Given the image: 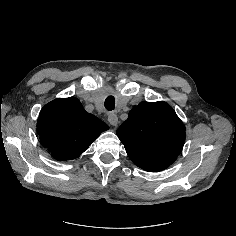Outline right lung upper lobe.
Here are the masks:
<instances>
[{
	"instance_id": "right-lung-upper-lobe-1",
	"label": "right lung upper lobe",
	"mask_w": 236,
	"mask_h": 236,
	"mask_svg": "<svg viewBox=\"0 0 236 236\" xmlns=\"http://www.w3.org/2000/svg\"><path fill=\"white\" fill-rule=\"evenodd\" d=\"M109 127L85 111L77 98L56 99L45 105L37 121L42 145L57 160L79 157Z\"/></svg>"
}]
</instances>
